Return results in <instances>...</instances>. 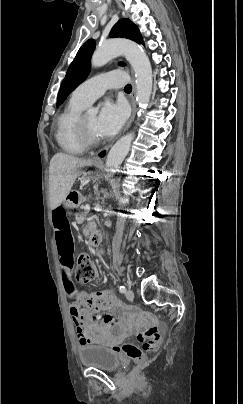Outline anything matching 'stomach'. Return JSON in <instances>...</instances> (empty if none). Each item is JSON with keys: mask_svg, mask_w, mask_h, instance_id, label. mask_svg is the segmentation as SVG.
Returning <instances> with one entry per match:
<instances>
[{"mask_svg": "<svg viewBox=\"0 0 243 404\" xmlns=\"http://www.w3.org/2000/svg\"><path fill=\"white\" fill-rule=\"evenodd\" d=\"M94 166H95L96 168H98L99 170H101L102 167H103V165H102L101 163H95ZM66 206H67V207H74L75 204H73L72 202H69V201H68V202H66Z\"/></svg>", "mask_w": 243, "mask_h": 404, "instance_id": "obj_1", "label": "stomach"}]
</instances>
